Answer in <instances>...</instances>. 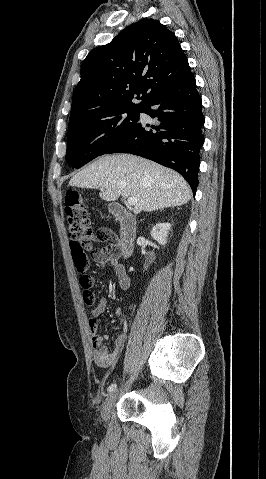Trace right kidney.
<instances>
[{
	"label": "right kidney",
	"mask_w": 266,
	"mask_h": 479,
	"mask_svg": "<svg viewBox=\"0 0 266 479\" xmlns=\"http://www.w3.org/2000/svg\"><path fill=\"white\" fill-rule=\"evenodd\" d=\"M170 228L171 225L169 223H158L152 228L151 237L160 245H165Z\"/></svg>",
	"instance_id": "obj_1"
}]
</instances>
